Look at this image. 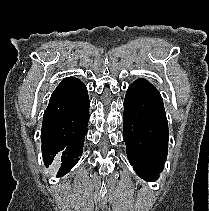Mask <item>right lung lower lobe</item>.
Listing matches in <instances>:
<instances>
[{"label": "right lung lower lobe", "mask_w": 209, "mask_h": 211, "mask_svg": "<svg viewBox=\"0 0 209 211\" xmlns=\"http://www.w3.org/2000/svg\"><path fill=\"white\" fill-rule=\"evenodd\" d=\"M89 105L86 86L74 77L63 79L51 95L43 115L42 155L47 167L61 159L57 177L70 171L82 155Z\"/></svg>", "instance_id": "1"}]
</instances>
